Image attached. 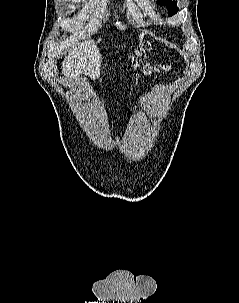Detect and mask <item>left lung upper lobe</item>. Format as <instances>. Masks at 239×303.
<instances>
[{"instance_id":"1","label":"left lung upper lobe","mask_w":239,"mask_h":303,"mask_svg":"<svg viewBox=\"0 0 239 303\" xmlns=\"http://www.w3.org/2000/svg\"><path fill=\"white\" fill-rule=\"evenodd\" d=\"M158 3L160 5H165L168 7L169 9V13L170 15H174L178 12V8H177V5H176V1H170V0H159Z\"/></svg>"}]
</instances>
